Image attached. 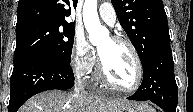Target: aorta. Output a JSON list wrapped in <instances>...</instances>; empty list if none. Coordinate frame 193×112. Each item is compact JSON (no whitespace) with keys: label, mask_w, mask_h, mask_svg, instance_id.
<instances>
[{"label":"aorta","mask_w":193,"mask_h":112,"mask_svg":"<svg viewBox=\"0 0 193 112\" xmlns=\"http://www.w3.org/2000/svg\"><path fill=\"white\" fill-rule=\"evenodd\" d=\"M83 21L89 34V40L93 45H98L104 37L108 36L107 29L101 25L99 20L97 0H85Z\"/></svg>","instance_id":"762f6f07"}]
</instances>
